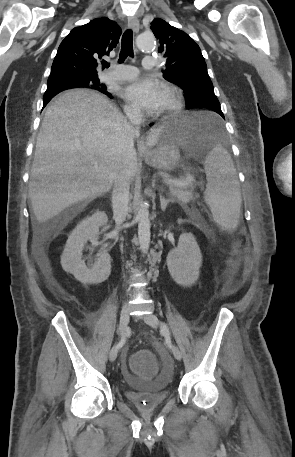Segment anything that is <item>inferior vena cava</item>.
<instances>
[{"mask_svg":"<svg viewBox=\"0 0 295 457\" xmlns=\"http://www.w3.org/2000/svg\"><path fill=\"white\" fill-rule=\"evenodd\" d=\"M126 115L130 123L138 130L141 123L142 115L139 109H129ZM129 187L130 181L126 173H119L113 184L112 207L113 217L116 225L119 227L126 219L129 210Z\"/></svg>","mask_w":295,"mask_h":457,"instance_id":"1","label":"inferior vena cava"}]
</instances>
